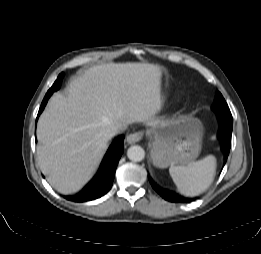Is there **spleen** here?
<instances>
[{
	"mask_svg": "<svg viewBox=\"0 0 261 254\" xmlns=\"http://www.w3.org/2000/svg\"><path fill=\"white\" fill-rule=\"evenodd\" d=\"M216 171V158L208 155L201 160L187 165H174L169 168V173L185 196H196L207 190L211 185Z\"/></svg>",
	"mask_w": 261,
	"mask_h": 254,
	"instance_id": "1",
	"label": "spleen"
}]
</instances>
